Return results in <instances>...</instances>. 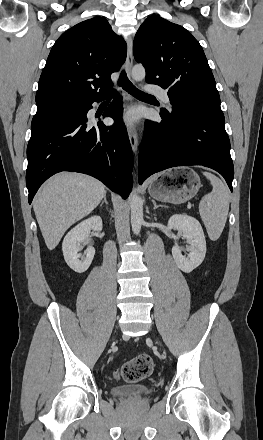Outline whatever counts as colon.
Masks as SVG:
<instances>
[{
  "mask_svg": "<svg viewBox=\"0 0 263 440\" xmlns=\"http://www.w3.org/2000/svg\"><path fill=\"white\" fill-rule=\"evenodd\" d=\"M152 370L151 357L147 354H141L124 363L116 372V377L128 383H136L147 378Z\"/></svg>",
  "mask_w": 263,
  "mask_h": 440,
  "instance_id": "obj_1",
  "label": "colon"
}]
</instances>
